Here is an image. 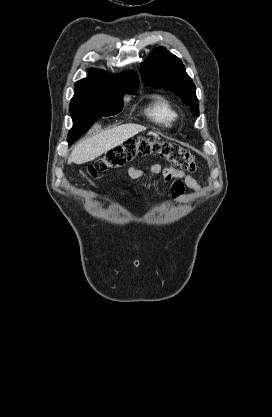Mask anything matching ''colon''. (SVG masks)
<instances>
[{
  "mask_svg": "<svg viewBox=\"0 0 272 417\" xmlns=\"http://www.w3.org/2000/svg\"><path fill=\"white\" fill-rule=\"evenodd\" d=\"M149 155H158L187 172H194L198 168L194 156L179 145L160 139L140 137L128 140L124 144L110 150L105 156L91 165L88 172L96 175L110 169H118L127 162Z\"/></svg>",
  "mask_w": 272,
  "mask_h": 417,
  "instance_id": "5ec220e1",
  "label": "colon"
}]
</instances>
